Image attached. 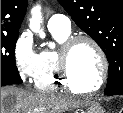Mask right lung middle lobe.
Listing matches in <instances>:
<instances>
[{
    "mask_svg": "<svg viewBox=\"0 0 123 113\" xmlns=\"http://www.w3.org/2000/svg\"><path fill=\"white\" fill-rule=\"evenodd\" d=\"M18 35L19 33L1 34V86L22 83L15 64Z\"/></svg>",
    "mask_w": 123,
    "mask_h": 113,
    "instance_id": "dd1d6c3e",
    "label": "right lung middle lobe"
}]
</instances>
